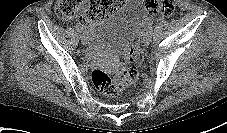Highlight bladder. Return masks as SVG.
Wrapping results in <instances>:
<instances>
[{
	"instance_id": "1",
	"label": "bladder",
	"mask_w": 227,
	"mask_h": 133,
	"mask_svg": "<svg viewBox=\"0 0 227 133\" xmlns=\"http://www.w3.org/2000/svg\"><path fill=\"white\" fill-rule=\"evenodd\" d=\"M145 18L142 0H128L95 34L92 47L114 55L124 54L136 38Z\"/></svg>"
}]
</instances>
